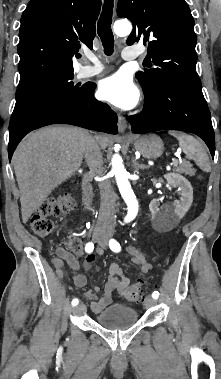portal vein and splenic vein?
I'll return each mask as SVG.
<instances>
[{
  "instance_id": "18ae733b",
  "label": "portal vein and splenic vein",
  "mask_w": 221,
  "mask_h": 379,
  "mask_svg": "<svg viewBox=\"0 0 221 379\" xmlns=\"http://www.w3.org/2000/svg\"><path fill=\"white\" fill-rule=\"evenodd\" d=\"M178 162H179V159L174 158V159L172 160V165H173V166H176Z\"/></svg>"
}]
</instances>
